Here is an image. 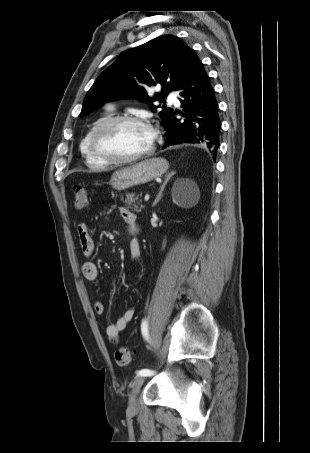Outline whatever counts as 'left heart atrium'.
Listing matches in <instances>:
<instances>
[{"label": "left heart atrium", "mask_w": 310, "mask_h": 453, "mask_svg": "<svg viewBox=\"0 0 310 453\" xmlns=\"http://www.w3.org/2000/svg\"><path fill=\"white\" fill-rule=\"evenodd\" d=\"M148 136H149L150 140L153 141V139L155 137V132L152 128H148Z\"/></svg>", "instance_id": "obj_1"}]
</instances>
